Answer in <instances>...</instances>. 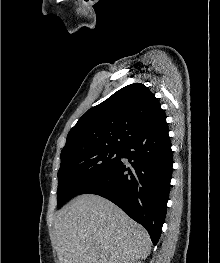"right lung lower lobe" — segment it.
<instances>
[{
    "instance_id": "1",
    "label": "right lung lower lobe",
    "mask_w": 220,
    "mask_h": 263,
    "mask_svg": "<svg viewBox=\"0 0 220 263\" xmlns=\"http://www.w3.org/2000/svg\"><path fill=\"white\" fill-rule=\"evenodd\" d=\"M172 165L168 131L157 138H138L123 149L119 162L80 194L115 203L147 229L156 245L165 221Z\"/></svg>"
}]
</instances>
